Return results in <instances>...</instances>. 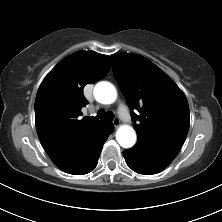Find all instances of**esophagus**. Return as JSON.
Masks as SVG:
<instances>
[{
	"mask_svg": "<svg viewBox=\"0 0 222 222\" xmlns=\"http://www.w3.org/2000/svg\"><path fill=\"white\" fill-rule=\"evenodd\" d=\"M113 125H114V127H119V125H120V121H119V119L118 118H115L114 120H113Z\"/></svg>",
	"mask_w": 222,
	"mask_h": 222,
	"instance_id": "esophagus-1",
	"label": "esophagus"
}]
</instances>
